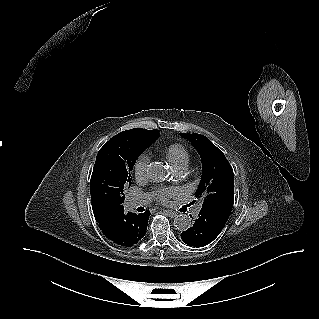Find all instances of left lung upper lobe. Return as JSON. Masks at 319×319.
<instances>
[{"label": "left lung upper lobe", "mask_w": 319, "mask_h": 319, "mask_svg": "<svg viewBox=\"0 0 319 319\" xmlns=\"http://www.w3.org/2000/svg\"><path fill=\"white\" fill-rule=\"evenodd\" d=\"M198 151L202 161V177L196 197L202 207L215 204H233V169L222 151L201 134L180 133Z\"/></svg>", "instance_id": "left-lung-upper-lobe-1"}]
</instances>
